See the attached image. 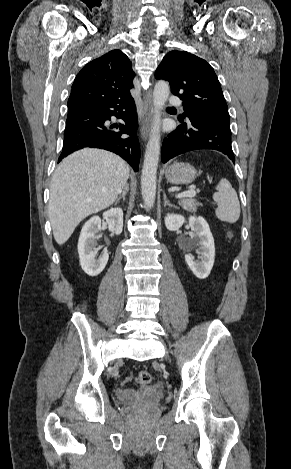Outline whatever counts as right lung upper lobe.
<instances>
[{"label": "right lung upper lobe", "mask_w": 291, "mask_h": 469, "mask_svg": "<svg viewBox=\"0 0 291 469\" xmlns=\"http://www.w3.org/2000/svg\"><path fill=\"white\" fill-rule=\"evenodd\" d=\"M132 64L120 50H112L88 63L78 73L68 99V109L111 98L132 99Z\"/></svg>", "instance_id": "obj_1"}]
</instances>
